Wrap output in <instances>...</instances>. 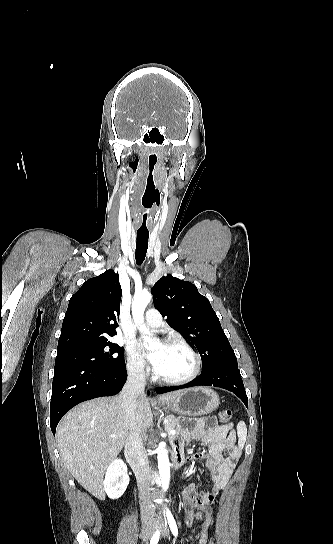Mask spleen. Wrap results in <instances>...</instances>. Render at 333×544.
Masks as SVG:
<instances>
[{"mask_svg":"<svg viewBox=\"0 0 333 544\" xmlns=\"http://www.w3.org/2000/svg\"><path fill=\"white\" fill-rule=\"evenodd\" d=\"M237 434L240 443H243L246 440L247 436V427L244 421H240L237 425Z\"/></svg>","mask_w":333,"mask_h":544,"instance_id":"3e777b00","label":"spleen"}]
</instances>
